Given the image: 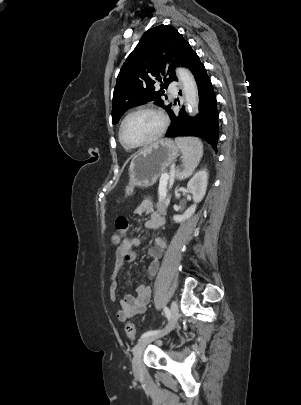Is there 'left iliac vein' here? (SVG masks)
I'll list each match as a JSON object with an SVG mask.
<instances>
[{"mask_svg": "<svg viewBox=\"0 0 301 405\" xmlns=\"http://www.w3.org/2000/svg\"><path fill=\"white\" fill-rule=\"evenodd\" d=\"M170 310L171 316L169 318L167 325L158 333L141 339L134 347L132 366L135 376H140L142 374L141 356L145 347L152 341L167 335L176 326L179 318V309L175 301L171 302Z\"/></svg>", "mask_w": 301, "mask_h": 405, "instance_id": "obj_1", "label": "left iliac vein"}]
</instances>
